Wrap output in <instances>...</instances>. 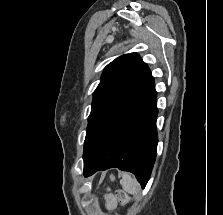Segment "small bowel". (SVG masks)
Listing matches in <instances>:
<instances>
[{"instance_id":"obj_1","label":"small bowel","mask_w":223,"mask_h":215,"mask_svg":"<svg viewBox=\"0 0 223 215\" xmlns=\"http://www.w3.org/2000/svg\"><path fill=\"white\" fill-rule=\"evenodd\" d=\"M106 203H107V206H108L109 209H112L115 205L114 200L110 196L106 197Z\"/></svg>"}]
</instances>
